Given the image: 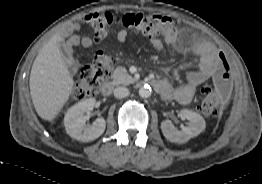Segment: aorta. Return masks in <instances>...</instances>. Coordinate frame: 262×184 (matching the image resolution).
<instances>
[{"mask_svg":"<svg viewBox=\"0 0 262 184\" xmlns=\"http://www.w3.org/2000/svg\"><path fill=\"white\" fill-rule=\"evenodd\" d=\"M139 95L142 98H147L151 95V87L149 85H144L139 89Z\"/></svg>","mask_w":262,"mask_h":184,"instance_id":"1","label":"aorta"}]
</instances>
